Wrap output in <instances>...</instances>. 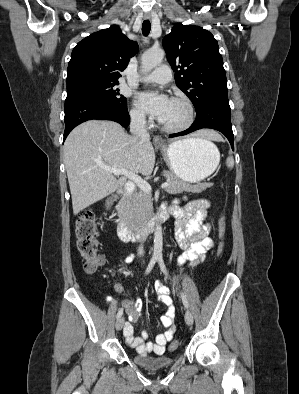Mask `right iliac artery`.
<instances>
[{"instance_id":"right-iliac-artery-1","label":"right iliac artery","mask_w":299,"mask_h":394,"mask_svg":"<svg viewBox=\"0 0 299 394\" xmlns=\"http://www.w3.org/2000/svg\"><path fill=\"white\" fill-rule=\"evenodd\" d=\"M156 261H157V257H152V258H151V260H150V262H149V264H148V266H147V269H146V271H145V274H146V275L153 269V267H154ZM122 314H123V308H121V309L118 311L117 316H116L117 319L120 318Z\"/></svg>"}]
</instances>
